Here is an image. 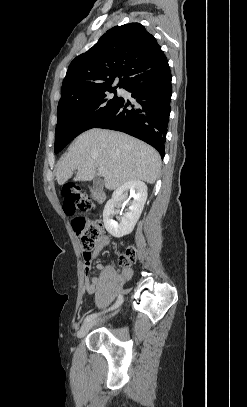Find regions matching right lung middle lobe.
<instances>
[{"label": "right lung middle lobe", "mask_w": 247, "mask_h": 407, "mask_svg": "<svg viewBox=\"0 0 247 407\" xmlns=\"http://www.w3.org/2000/svg\"><path fill=\"white\" fill-rule=\"evenodd\" d=\"M116 88L110 87L88 97L58 106L55 153L60 152L80 133L94 128L97 123L115 110L123 99L117 96ZM107 92H113L114 96H109Z\"/></svg>", "instance_id": "1"}]
</instances>
